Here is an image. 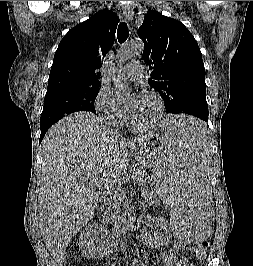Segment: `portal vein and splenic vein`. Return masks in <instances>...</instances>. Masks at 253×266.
<instances>
[{
  "mask_svg": "<svg viewBox=\"0 0 253 266\" xmlns=\"http://www.w3.org/2000/svg\"><path fill=\"white\" fill-rule=\"evenodd\" d=\"M137 174H138V175H141L142 172H138ZM91 183L94 184V185L100 186V184L98 183V181H97L96 179H95V180H92ZM105 185H106V184H105ZM141 194H143L142 191H141Z\"/></svg>",
  "mask_w": 253,
  "mask_h": 266,
  "instance_id": "18ae733b",
  "label": "portal vein and splenic vein"
}]
</instances>
